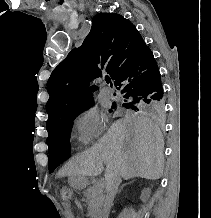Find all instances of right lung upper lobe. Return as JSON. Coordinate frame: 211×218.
<instances>
[{
	"instance_id": "obj_1",
	"label": "right lung upper lobe",
	"mask_w": 211,
	"mask_h": 218,
	"mask_svg": "<svg viewBox=\"0 0 211 218\" xmlns=\"http://www.w3.org/2000/svg\"><path fill=\"white\" fill-rule=\"evenodd\" d=\"M150 50L135 26L119 14L100 13L92 19L89 34L78 49L53 70L47 91V131L65 115L93 101L90 80L101 77L104 69L111 78Z\"/></svg>"
}]
</instances>
